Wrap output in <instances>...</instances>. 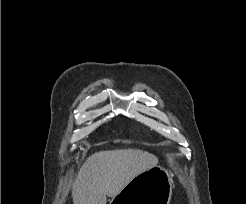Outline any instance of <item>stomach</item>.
<instances>
[{"instance_id": "1", "label": "stomach", "mask_w": 246, "mask_h": 204, "mask_svg": "<svg viewBox=\"0 0 246 204\" xmlns=\"http://www.w3.org/2000/svg\"><path fill=\"white\" fill-rule=\"evenodd\" d=\"M172 186L169 172L155 166L134 177L110 204H169Z\"/></svg>"}]
</instances>
